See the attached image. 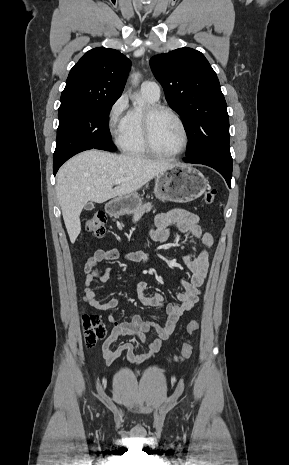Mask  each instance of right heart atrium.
<instances>
[{
	"instance_id": "right-heart-atrium-1",
	"label": "right heart atrium",
	"mask_w": 289,
	"mask_h": 465,
	"mask_svg": "<svg viewBox=\"0 0 289 465\" xmlns=\"http://www.w3.org/2000/svg\"><path fill=\"white\" fill-rule=\"evenodd\" d=\"M128 98L127 95L122 94L115 102L111 105L108 113V128L110 134L119 142L123 136L126 123H127V111Z\"/></svg>"
}]
</instances>
